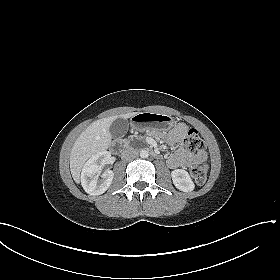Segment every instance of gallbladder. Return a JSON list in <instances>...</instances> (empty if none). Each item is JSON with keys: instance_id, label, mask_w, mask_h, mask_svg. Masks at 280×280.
I'll list each match as a JSON object with an SVG mask.
<instances>
[{"instance_id": "gallbladder-1", "label": "gallbladder", "mask_w": 280, "mask_h": 280, "mask_svg": "<svg viewBox=\"0 0 280 280\" xmlns=\"http://www.w3.org/2000/svg\"><path fill=\"white\" fill-rule=\"evenodd\" d=\"M128 127H129V123L126 119L117 118L111 124L109 131H110L112 137L120 138L126 134Z\"/></svg>"}]
</instances>
